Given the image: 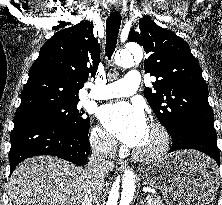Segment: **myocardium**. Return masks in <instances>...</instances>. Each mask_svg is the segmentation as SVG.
<instances>
[{
	"mask_svg": "<svg viewBox=\"0 0 222 205\" xmlns=\"http://www.w3.org/2000/svg\"><path fill=\"white\" fill-rule=\"evenodd\" d=\"M149 127L158 133L160 142L158 146L150 152H143L138 149H134V157L143 162H152L161 158L168 151L170 146V135L163 124L153 121L150 123Z\"/></svg>",
	"mask_w": 222,
	"mask_h": 205,
	"instance_id": "f54148a6",
	"label": "myocardium"
}]
</instances>
